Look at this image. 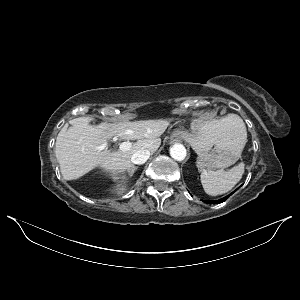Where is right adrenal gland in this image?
Returning a JSON list of instances; mask_svg holds the SVG:
<instances>
[{
  "label": "right adrenal gland",
  "mask_w": 300,
  "mask_h": 300,
  "mask_svg": "<svg viewBox=\"0 0 300 300\" xmlns=\"http://www.w3.org/2000/svg\"><path fill=\"white\" fill-rule=\"evenodd\" d=\"M138 167L133 166L131 169L128 170L129 174L132 176L135 172V170H137Z\"/></svg>",
  "instance_id": "right-adrenal-gland-1"
}]
</instances>
